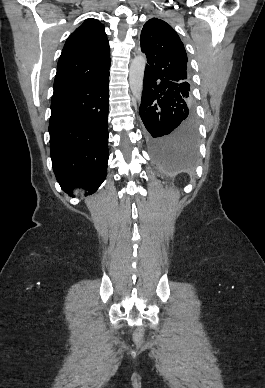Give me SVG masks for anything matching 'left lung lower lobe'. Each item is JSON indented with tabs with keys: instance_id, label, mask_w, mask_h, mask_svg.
<instances>
[{
	"instance_id": "0a47b994",
	"label": "left lung lower lobe",
	"mask_w": 265,
	"mask_h": 388,
	"mask_svg": "<svg viewBox=\"0 0 265 388\" xmlns=\"http://www.w3.org/2000/svg\"><path fill=\"white\" fill-rule=\"evenodd\" d=\"M139 113L156 165L166 171L192 169L197 158V122L180 84L145 70Z\"/></svg>"
}]
</instances>
